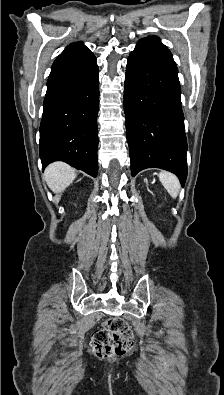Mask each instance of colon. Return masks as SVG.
<instances>
[{
  "mask_svg": "<svg viewBox=\"0 0 224 395\" xmlns=\"http://www.w3.org/2000/svg\"><path fill=\"white\" fill-rule=\"evenodd\" d=\"M91 343L96 357L110 358L130 351L134 346V336L123 319L112 318L94 331Z\"/></svg>",
  "mask_w": 224,
  "mask_h": 395,
  "instance_id": "1",
  "label": "colon"
}]
</instances>
